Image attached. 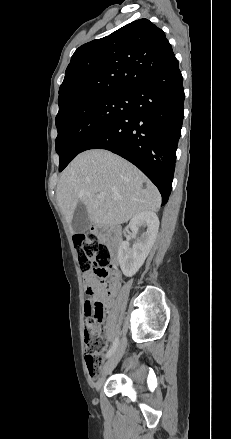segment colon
<instances>
[{"mask_svg":"<svg viewBox=\"0 0 231 439\" xmlns=\"http://www.w3.org/2000/svg\"><path fill=\"white\" fill-rule=\"evenodd\" d=\"M74 245L78 254V263L84 273L93 272L99 280L103 291L110 289L114 267L109 248L101 242L96 234L89 233L75 237ZM85 304V345L86 367L91 376H95L100 368L103 357L104 336L101 329L102 303L92 295Z\"/></svg>","mask_w":231,"mask_h":439,"instance_id":"5ec220e1","label":"colon"}]
</instances>
